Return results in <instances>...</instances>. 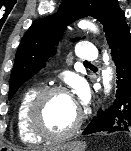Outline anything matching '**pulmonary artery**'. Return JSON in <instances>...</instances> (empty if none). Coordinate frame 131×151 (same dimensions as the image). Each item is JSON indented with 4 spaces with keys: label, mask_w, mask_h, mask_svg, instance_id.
Returning a JSON list of instances; mask_svg holds the SVG:
<instances>
[{
    "label": "pulmonary artery",
    "mask_w": 131,
    "mask_h": 151,
    "mask_svg": "<svg viewBox=\"0 0 131 151\" xmlns=\"http://www.w3.org/2000/svg\"><path fill=\"white\" fill-rule=\"evenodd\" d=\"M76 55L81 61L92 62L98 57L96 47L90 42H81L76 49Z\"/></svg>",
    "instance_id": "obj_1"
}]
</instances>
